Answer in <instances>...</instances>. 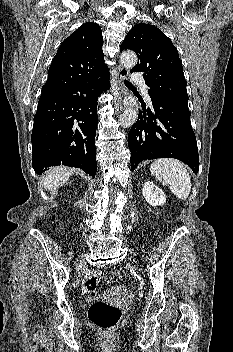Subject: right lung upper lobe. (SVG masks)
<instances>
[{
	"mask_svg": "<svg viewBox=\"0 0 233 352\" xmlns=\"http://www.w3.org/2000/svg\"><path fill=\"white\" fill-rule=\"evenodd\" d=\"M102 31L96 23H85L60 45L48 70L42 91L55 92L99 76L104 63Z\"/></svg>",
	"mask_w": 233,
	"mask_h": 352,
	"instance_id": "cb5924a9",
	"label": "right lung upper lobe"
}]
</instances>
